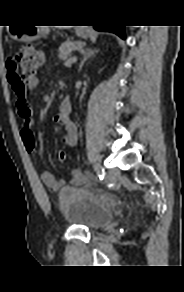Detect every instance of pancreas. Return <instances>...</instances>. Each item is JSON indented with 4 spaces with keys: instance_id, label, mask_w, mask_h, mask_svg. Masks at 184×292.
I'll return each instance as SVG.
<instances>
[{
    "instance_id": "1",
    "label": "pancreas",
    "mask_w": 184,
    "mask_h": 292,
    "mask_svg": "<svg viewBox=\"0 0 184 292\" xmlns=\"http://www.w3.org/2000/svg\"><path fill=\"white\" fill-rule=\"evenodd\" d=\"M84 44L80 41H66L59 47V58L66 59L73 51L80 50Z\"/></svg>"
}]
</instances>
